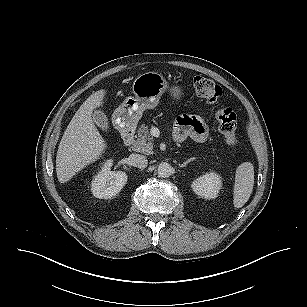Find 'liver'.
Wrapping results in <instances>:
<instances>
[{"mask_svg": "<svg viewBox=\"0 0 307 307\" xmlns=\"http://www.w3.org/2000/svg\"><path fill=\"white\" fill-rule=\"evenodd\" d=\"M106 90L96 91L79 107L67 126L56 156V173L66 183L85 166L96 161L107 144L94 125L93 110L104 103Z\"/></svg>", "mask_w": 307, "mask_h": 307, "instance_id": "obj_1", "label": "liver"}]
</instances>
